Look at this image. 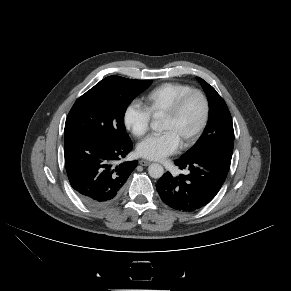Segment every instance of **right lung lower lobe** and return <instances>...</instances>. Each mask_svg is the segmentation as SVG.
Returning a JSON list of instances; mask_svg holds the SVG:
<instances>
[{"label": "right lung lower lobe", "instance_id": "obj_1", "mask_svg": "<svg viewBox=\"0 0 291 291\" xmlns=\"http://www.w3.org/2000/svg\"><path fill=\"white\" fill-rule=\"evenodd\" d=\"M131 149L130 138L80 135L65 139L67 175L72 188L85 204L104 206L117 198L137 166L136 160L119 164Z\"/></svg>", "mask_w": 291, "mask_h": 291}]
</instances>
